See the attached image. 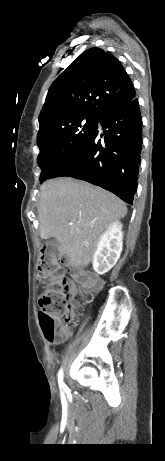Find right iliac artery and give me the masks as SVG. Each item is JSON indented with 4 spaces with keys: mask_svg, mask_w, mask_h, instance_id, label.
I'll return each mask as SVG.
<instances>
[{
    "mask_svg": "<svg viewBox=\"0 0 165 461\" xmlns=\"http://www.w3.org/2000/svg\"><path fill=\"white\" fill-rule=\"evenodd\" d=\"M58 383H59V386H60L61 388H63L64 390L67 389V386H66V385L64 384V382H63V372H62V370H60V371H59V374H58Z\"/></svg>",
    "mask_w": 165,
    "mask_h": 461,
    "instance_id": "obj_1",
    "label": "right iliac artery"
}]
</instances>
